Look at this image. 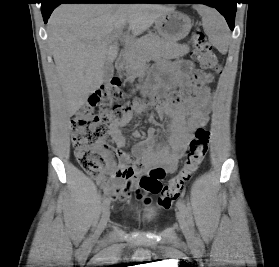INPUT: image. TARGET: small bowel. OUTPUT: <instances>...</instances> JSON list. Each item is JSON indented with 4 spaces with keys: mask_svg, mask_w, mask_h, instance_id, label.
Listing matches in <instances>:
<instances>
[{
    "mask_svg": "<svg viewBox=\"0 0 279 267\" xmlns=\"http://www.w3.org/2000/svg\"><path fill=\"white\" fill-rule=\"evenodd\" d=\"M191 69V63L186 60L159 63L156 82L150 90L155 94H160L169 88L187 86ZM160 75H163V77H160ZM210 95V88L204 87L193 98L187 99L179 105L161 104L157 109L158 115L170 120L166 142L155 146L158 132L155 128H149L146 138L133 147L132 154L136 158L134 167L136 172L134 176L128 179L116 177L112 174V169L118 164L128 163L131 156L123 151H119L117 154L110 152L107 158L110 177L108 179L104 176L99 178V184L105 193L115 201L129 199L132 189L136 186L137 168L139 166L158 168L162 171L163 176L166 173L174 172L193 137L194 131L205 120L206 110L210 104ZM144 111L145 107L136 103L134 109L129 111L122 120L111 124L110 135L119 147H124L126 144L123 128L134 116L140 115ZM132 137L141 139L142 134L139 131H134Z\"/></svg>",
    "mask_w": 279,
    "mask_h": 267,
    "instance_id": "small-bowel-1",
    "label": "small bowel"
}]
</instances>
